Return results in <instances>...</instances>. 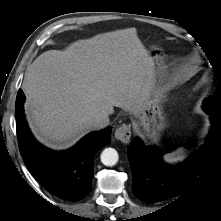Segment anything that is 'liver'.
Returning a JSON list of instances; mask_svg holds the SVG:
<instances>
[{"instance_id": "obj_1", "label": "liver", "mask_w": 221, "mask_h": 221, "mask_svg": "<svg viewBox=\"0 0 221 221\" xmlns=\"http://www.w3.org/2000/svg\"><path fill=\"white\" fill-rule=\"evenodd\" d=\"M153 77L154 59L135 28L46 51L29 66L22 84L30 128L47 146L69 148L93 129L89 121L97 113L119 107L138 114Z\"/></svg>"}]
</instances>
